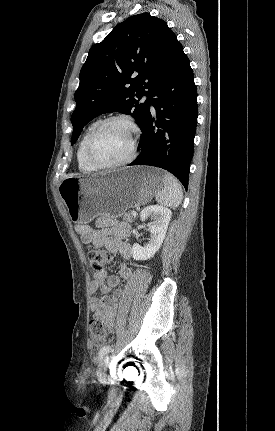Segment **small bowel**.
I'll return each mask as SVG.
<instances>
[{
    "label": "small bowel",
    "mask_w": 275,
    "mask_h": 431,
    "mask_svg": "<svg viewBox=\"0 0 275 431\" xmlns=\"http://www.w3.org/2000/svg\"><path fill=\"white\" fill-rule=\"evenodd\" d=\"M75 231L85 244H92L98 248H105L109 252L119 253L128 260L132 256L131 246L124 241L130 234V227L126 223H119L109 219H101L93 228L86 224H77ZM133 272L130 266L124 263L119 275L108 276L105 272H98L91 283V293H100V297H93L90 302V311L94 319L104 324L107 330L112 331L121 311L120 300L124 295L121 289H115L120 279L130 280Z\"/></svg>",
    "instance_id": "obj_1"
}]
</instances>
